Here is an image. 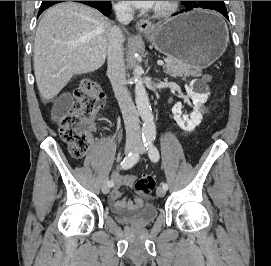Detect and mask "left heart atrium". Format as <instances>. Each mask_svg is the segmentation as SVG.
Here are the masks:
<instances>
[{
  "label": "left heart atrium",
  "instance_id": "obj_1",
  "mask_svg": "<svg viewBox=\"0 0 271 266\" xmlns=\"http://www.w3.org/2000/svg\"><path fill=\"white\" fill-rule=\"evenodd\" d=\"M161 1H128L129 4L137 9L150 10L159 5Z\"/></svg>",
  "mask_w": 271,
  "mask_h": 266
}]
</instances>
